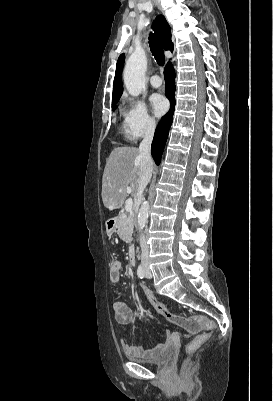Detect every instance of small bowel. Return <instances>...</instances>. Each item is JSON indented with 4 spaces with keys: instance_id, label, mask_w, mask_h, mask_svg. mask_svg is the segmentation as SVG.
Here are the masks:
<instances>
[{
    "instance_id": "c3829d8e",
    "label": "small bowel",
    "mask_w": 273,
    "mask_h": 401,
    "mask_svg": "<svg viewBox=\"0 0 273 401\" xmlns=\"http://www.w3.org/2000/svg\"><path fill=\"white\" fill-rule=\"evenodd\" d=\"M121 262L118 260H114L110 263L109 266V280L112 283H117L120 280L121 277ZM113 311H114V315H115V321L118 324H128L132 318H133V313L132 310L130 309V307L122 302V301H115L112 305ZM186 317L185 316H181L179 317V319L177 321H185ZM171 321V319H168ZM180 333L176 332L174 333H168L167 335V340L160 344L157 348L153 349V350H144L142 348L136 347V346H132L126 342H122V349L124 352H126L127 354L131 355V356H135V357H140V356H146V357H155L157 356L161 351L165 350L166 348H168L171 343L172 340H174L175 338L179 337ZM182 337H187L188 333L187 332H182L181 333Z\"/></svg>"
}]
</instances>
